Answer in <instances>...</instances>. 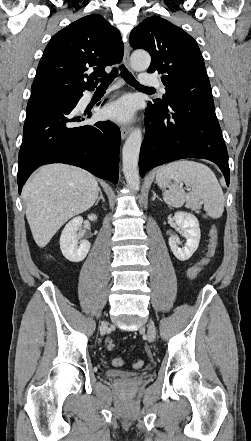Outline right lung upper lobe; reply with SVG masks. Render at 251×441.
<instances>
[{
	"label": "right lung upper lobe",
	"mask_w": 251,
	"mask_h": 441,
	"mask_svg": "<svg viewBox=\"0 0 251 441\" xmlns=\"http://www.w3.org/2000/svg\"><path fill=\"white\" fill-rule=\"evenodd\" d=\"M124 46L119 31L101 15H88L56 33L46 46L31 87V97L82 93L119 63ZM93 69L88 75L85 71ZM30 97V98H31Z\"/></svg>",
	"instance_id": "cb5924a9"
}]
</instances>
